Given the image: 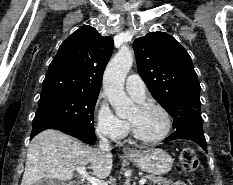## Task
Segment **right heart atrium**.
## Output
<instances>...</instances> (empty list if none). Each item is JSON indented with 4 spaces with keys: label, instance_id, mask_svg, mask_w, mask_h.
Here are the masks:
<instances>
[{
    "label": "right heart atrium",
    "instance_id": "d8ad5b80",
    "mask_svg": "<svg viewBox=\"0 0 233 185\" xmlns=\"http://www.w3.org/2000/svg\"><path fill=\"white\" fill-rule=\"evenodd\" d=\"M93 113L95 131L99 136L119 141L128 134V123L119 118L102 98L96 101Z\"/></svg>",
    "mask_w": 233,
    "mask_h": 185
}]
</instances>
